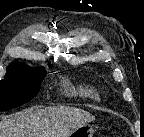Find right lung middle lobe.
I'll use <instances>...</instances> for the list:
<instances>
[{"label": "right lung middle lobe", "mask_w": 144, "mask_h": 137, "mask_svg": "<svg viewBox=\"0 0 144 137\" xmlns=\"http://www.w3.org/2000/svg\"><path fill=\"white\" fill-rule=\"evenodd\" d=\"M45 76L43 67H8L0 81V111L18 107L35 97Z\"/></svg>", "instance_id": "dd1d6c3e"}]
</instances>
